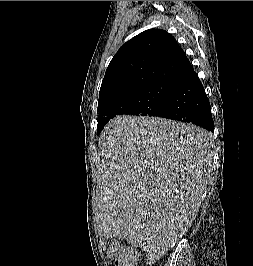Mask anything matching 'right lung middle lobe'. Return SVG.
I'll return each mask as SVG.
<instances>
[{"label": "right lung middle lobe", "mask_w": 253, "mask_h": 266, "mask_svg": "<svg viewBox=\"0 0 253 266\" xmlns=\"http://www.w3.org/2000/svg\"><path fill=\"white\" fill-rule=\"evenodd\" d=\"M172 83H153L98 104L97 133L116 115L159 116L163 113Z\"/></svg>", "instance_id": "dd1d6c3e"}]
</instances>
